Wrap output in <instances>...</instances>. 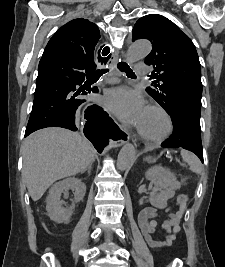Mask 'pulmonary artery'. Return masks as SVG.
<instances>
[{
	"instance_id": "obj_1",
	"label": "pulmonary artery",
	"mask_w": 225,
	"mask_h": 267,
	"mask_svg": "<svg viewBox=\"0 0 225 267\" xmlns=\"http://www.w3.org/2000/svg\"><path fill=\"white\" fill-rule=\"evenodd\" d=\"M135 72L137 76H143L147 73V66L145 64H136ZM117 80L115 78H106L104 83H114Z\"/></svg>"
}]
</instances>
